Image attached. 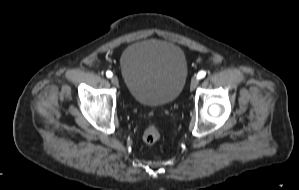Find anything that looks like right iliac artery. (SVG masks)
<instances>
[{"mask_svg":"<svg viewBox=\"0 0 299 190\" xmlns=\"http://www.w3.org/2000/svg\"><path fill=\"white\" fill-rule=\"evenodd\" d=\"M112 75H113V74H112L111 71H107V72H106V76H107L108 78L112 77Z\"/></svg>","mask_w":299,"mask_h":190,"instance_id":"obj_1","label":"right iliac artery"}]
</instances>
